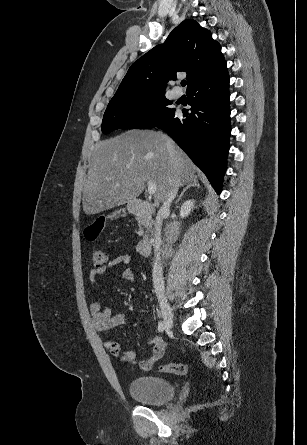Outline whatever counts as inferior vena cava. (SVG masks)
<instances>
[{
  "instance_id": "obj_1",
  "label": "inferior vena cava",
  "mask_w": 307,
  "mask_h": 445,
  "mask_svg": "<svg viewBox=\"0 0 307 445\" xmlns=\"http://www.w3.org/2000/svg\"><path fill=\"white\" fill-rule=\"evenodd\" d=\"M167 142V148H168V152H174L175 150V144L173 142V140H171V138H168V140H166ZM173 184H174V188H171L170 192H168V194H166V200H164L162 206H160V210H158L157 212V216H156V225H155V239H154V243H155V261L153 263V269H152V281H153V285H154V289H155V293L157 295L158 301L161 304L166 303L167 298L165 295V285H164V281H163V273H162V267H161V245H162V241H161V227H162V223H163V218H164V214H166V212H168V210H170V206H171V202L172 200H174L176 194H177V190H178V186H180L181 184V180L179 178V176H174L173 178Z\"/></svg>"
}]
</instances>
